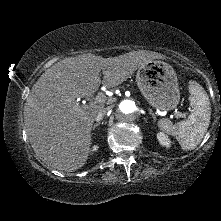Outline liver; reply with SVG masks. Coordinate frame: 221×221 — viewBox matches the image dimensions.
Here are the masks:
<instances>
[{
  "label": "liver",
  "mask_w": 221,
  "mask_h": 221,
  "mask_svg": "<svg viewBox=\"0 0 221 221\" xmlns=\"http://www.w3.org/2000/svg\"><path fill=\"white\" fill-rule=\"evenodd\" d=\"M154 59L164 55L144 50L109 58L83 54L47 69L24 105L26 133L35 154L60 171L83 167L92 145V126L103 105H79L76 99L94 94L101 83L107 88L118 86Z\"/></svg>",
  "instance_id": "1"
}]
</instances>
